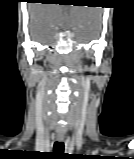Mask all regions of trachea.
Masks as SVG:
<instances>
[{"mask_svg": "<svg viewBox=\"0 0 134 159\" xmlns=\"http://www.w3.org/2000/svg\"><path fill=\"white\" fill-rule=\"evenodd\" d=\"M53 149L56 154H62L64 151V143L59 141L55 142Z\"/></svg>", "mask_w": 134, "mask_h": 159, "instance_id": "3493384b", "label": "trachea"}]
</instances>
